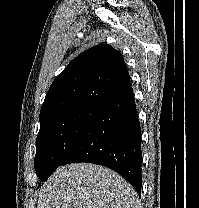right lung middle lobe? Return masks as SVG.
Segmentation results:
<instances>
[{
    "instance_id": "right-lung-middle-lobe-1",
    "label": "right lung middle lobe",
    "mask_w": 199,
    "mask_h": 208,
    "mask_svg": "<svg viewBox=\"0 0 199 208\" xmlns=\"http://www.w3.org/2000/svg\"><path fill=\"white\" fill-rule=\"evenodd\" d=\"M82 106L59 112L40 122L34 167L42 181L61 165L99 110Z\"/></svg>"
}]
</instances>
